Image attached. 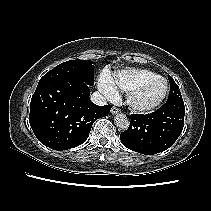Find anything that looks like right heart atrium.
Wrapping results in <instances>:
<instances>
[{
  "label": "right heart atrium",
  "mask_w": 211,
  "mask_h": 211,
  "mask_svg": "<svg viewBox=\"0 0 211 211\" xmlns=\"http://www.w3.org/2000/svg\"><path fill=\"white\" fill-rule=\"evenodd\" d=\"M99 89L111 101L118 99L119 93L110 75L103 73L99 79Z\"/></svg>",
  "instance_id": "right-heart-atrium-1"
}]
</instances>
